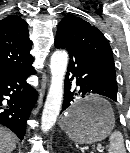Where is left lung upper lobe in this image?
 Listing matches in <instances>:
<instances>
[{"mask_svg":"<svg viewBox=\"0 0 130 153\" xmlns=\"http://www.w3.org/2000/svg\"><path fill=\"white\" fill-rule=\"evenodd\" d=\"M56 38L65 40L80 54L87 55L96 61L116 84L111 47L104 35L96 27L91 26L77 16L68 15L60 21Z\"/></svg>","mask_w":130,"mask_h":153,"instance_id":"1","label":"left lung upper lobe"}]
</instances>
